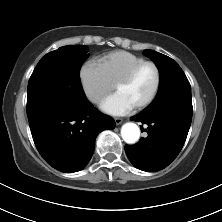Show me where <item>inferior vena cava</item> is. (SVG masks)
I'll return each instance as SVG.
<instances>
[{"label":"inferior vena cava","mask_w":222,"mask_h":222,"mask_svg":"<svg viewBox=\"0 0 222 222\" xmlns=\"http://www.w3.org/2000/svg\"><path fill=\"white\" fill-rule=\"evenodd\" d=\"M100 97H95V99H94V101H96V102H98V101H100Z\"/></svg>","instance_id":"1"}]
</instances>
